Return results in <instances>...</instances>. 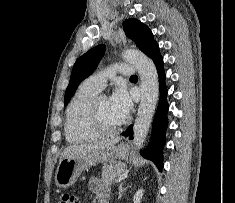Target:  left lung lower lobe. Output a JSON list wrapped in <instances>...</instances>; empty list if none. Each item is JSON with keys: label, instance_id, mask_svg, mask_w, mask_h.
I'll use <instances>...</instances> for the list:
<instances>
[{"label": "left lung lower lobe", "instance_id": "obj_1", "mask_svg": "<svg viewBox=\"0 0 235 203\" xmlns=\"http://www.w3.org/2000/svg\"><path fill=\"white\" fill-rule=\"evenodd\" d=\"M155 63L157 72L159 75L160 83V100L157 111L155 113L153 121V129L151 135V141L149 146L142 151V155L153 161L157 168L162 171L163 168V154L162 149L165 145V132L168 125L167 111L168 104L166 101L167 89L165 86V73L163 69V59L160 55L159 46L155 43L146 53ZM128 136L129 139H133V126H129L127 130L122 134Z\"/></svg>", "mask_w": 235, "mask_h": 203}]
</instances>
